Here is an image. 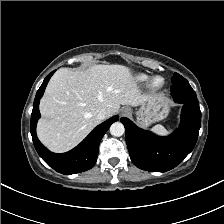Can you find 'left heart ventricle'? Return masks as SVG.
<instances>
[{"label": "left heart ventricle", "instance_id": "obj_1", "mask_svg": "<svg viewBox=\"0 0 224 224\" xmlns=\"http://www.w3.org/2000/svg\"><path fill=\"white\" fill-rule=\"evenodd\" d=\"M160 83H161V79H157L156 84H160Z\"/></svg>", "mask_w": 224, "mask_h": 224}]
</instances>
